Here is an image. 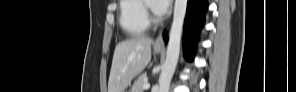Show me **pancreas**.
<instances>
[{"label":"pancreas","mask_w":296,"mask_h":92,"mask_svg":"<svg viewBox=\"0 0 296 92\" xmlns=\"http://www.w3.org/2000/svg\"><path fill=\"white\" fill-rule=\"evenodd\" d=\"M147 83V75L142 74L138 77L137 81L134 83L132 87V92H143L144 88L143 85Z\"/></svg>","instance_id":"pancreas-1"}]
</instances>
